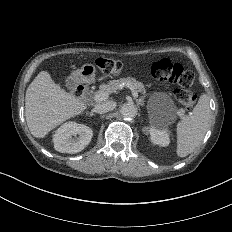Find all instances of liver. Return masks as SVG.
<instances>
[{"label":"liver","instance_id":"liver-1","mask_svg":"<svg viewBox=\"0 0 232 232\" xmlns=\"http://www.w3.org/2000/svg\"><path fill=\"white\" fill-rule=\"evenodd\" d=\"M86 108L84 101L61 89L46 71H41L26 90V122L31 134L37 138L45 137L49 131Z\"/></svg>","mask_w":232,"mask_h":232}]
</instances>
